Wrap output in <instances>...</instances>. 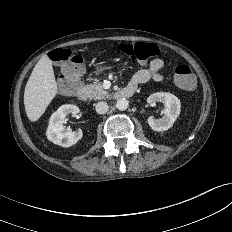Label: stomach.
<instances>
[{
    "instance_id": "stomach-1",
    "label": "stomach",
    "mask_w": 232,
    "mask_h": 232,
    "mask_svg": "<svg viewBox=\"0 0 232 232\" xmlns=\"http://www.w3.org/2000/svg\"><path fill=\"white\" fill-rule=\"evenodd\" d=\"M105 69H106L105 67H99V68H97V72L100 73V72H102Z\"/></svg>"
}]
</instances>
